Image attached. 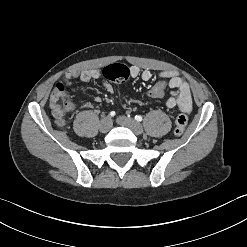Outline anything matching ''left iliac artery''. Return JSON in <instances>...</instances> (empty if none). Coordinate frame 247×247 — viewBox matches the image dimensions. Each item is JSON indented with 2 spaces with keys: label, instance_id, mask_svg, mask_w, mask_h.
I'll list each match as a JSON object with an SVG mask.
<instances>
[{
  "label": "left iliac artery",
  "instance_id": "1",
  "mask_svg": "<svg viewBox=\"0 0 247 247\" xmlns=\"http://www.w3.org/2000/svg\"><path fill=\"white\" fill-rule=\"evenodd\" d=\"M135 120H136V121H142V116L136 115V116H135Z\"/></svg>",
  "mask_w": 247,
  "mask_h": 247
}]
</instances>
